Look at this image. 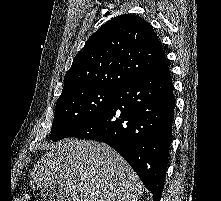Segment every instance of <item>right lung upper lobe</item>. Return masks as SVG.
Wrapping results in <instances>:
<instances>
[{"instance_id": "obj_1", "label": "right lung upper lobe", "mask_w": 221, "mask_h": 201, "mask_svg": "<svg viewBox=\"0 0 221 201\" xmlns=\"http://www.w3.org/2000/svg\"><path fill=\"white\" fill-rule=\"evenodd\" d=\"M165 61L159 38L144 19L117 16L92 34L76 55L61 96L90 88L117 90Z\"/></svg>"}]
</instances>
